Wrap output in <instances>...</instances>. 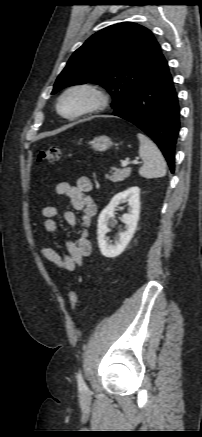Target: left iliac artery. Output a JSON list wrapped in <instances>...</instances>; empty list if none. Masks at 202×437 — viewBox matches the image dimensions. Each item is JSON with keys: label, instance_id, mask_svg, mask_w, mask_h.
Listing matches in <instances>:
<instances>
[{"label": "left iliac artery", "instance_id": "1", "mask_svg": "<svg viewBox=\"0 0 202 437\" xmlns=\"http://www.w3.org/2000/svg\"><path fill=\"white\" fill-rule=\"evenodd\" d=\"M77 382H78V386H79L80 389H85L86 388V385H85V382H84V379L82 377L81 372H79L77 374Z\"/></svg>", "mask_w": 202, "mask_h": 437}]
</instances>
